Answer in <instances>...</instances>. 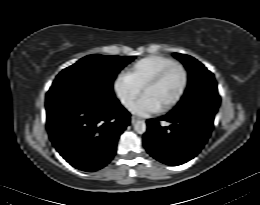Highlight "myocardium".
I'll return each instance as SVG.
<instances>
[{"label":"myocardium","mask_w":260,"mask_h":205,"mask_svg":"<svg viewBox=\"0 0 260 205\" xmlns=\"http://www.w3.org/2000/svg\"><path fill=\"white\" fill-rule=\"evenodd\" d=\"M175 69H178L182 72L183 84H182L178 94L170 102H168L165 106L160 107V110L163 112L173 109L184 98V96L189 88V84H190V74H189V71L186 69V67L179 63L168 66L165 69L158 72L152 78H150L143 87V93H146L149 89H151L153 86L158 84L167 74H169L171 71H173Z\"/></svg>","instance_id":"myocardium-1"}]
</instances>
